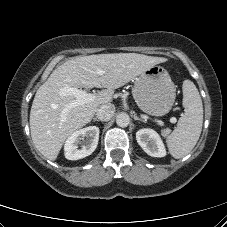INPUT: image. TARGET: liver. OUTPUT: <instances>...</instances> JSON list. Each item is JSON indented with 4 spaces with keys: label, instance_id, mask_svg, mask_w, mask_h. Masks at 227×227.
<instances>
[{
    "label": "liver",
    "instance_id": "obj_1",
    "mask_svg": "<svg viewBox=\"0 0 227 227\" xmlns=\"http://www.w3.org/2000/svg\"><path fill=\"white\" fill-rule=\"evenodd\" d=\"M164 61L163 57L114 53L76 57L60 65L38 88L32 103L30 131L35 147L47 159L56 160L65 140L89 123L98 107L112 102L115 89ZM64 87L106 89L92 102L66 109L75 97L60 95Z\"/></svg>",
    "mask_w": 227,
    "mask_h": 227
}]
</instances>
